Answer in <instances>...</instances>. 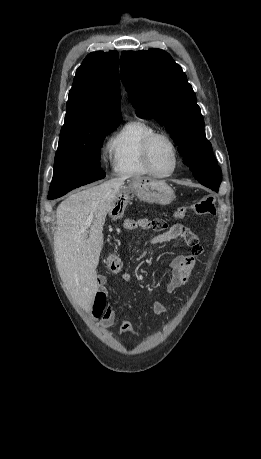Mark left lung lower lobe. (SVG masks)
Wrapping results in <instances>:
<instances>
[{
  "instance_id": "0a47b994",
  "label": "left lung lower lobe",
  "mask_w": 261,
  "mask_h": 459,
  "mask_svg": "<svg viewBox=\"0 0 261 459\" xmlns=\"http://www.w3.org/2000/svg\"><path fill=\"white\" fill-rule=\"evenodd\" d=\"M204 186L218 192V189H219V186H220V183H217V182H213V181H209V182H201Z\"/></svg>"
}]
</instances>
